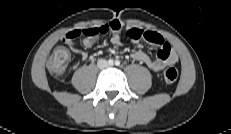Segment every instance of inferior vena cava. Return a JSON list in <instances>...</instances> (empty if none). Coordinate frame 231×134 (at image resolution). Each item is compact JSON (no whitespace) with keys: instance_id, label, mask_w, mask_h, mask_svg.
Returning <instances> with one entry per match:
<instances>
[{"instance_id":"obj_1","label":"inferior vena cava","mask_w":231,"mask_h":134,"mask_svg":"<svg viewBox=\"0 0 231 134\" xmlns=\"http://www.w3.org/2000/svg\"><path fill=\"white\" fill-rule=\"evenodd\" d=\"M98 68L103 69L108 67V62L104 59H100L97 63Z\"/></svg>"}]
</instances>
